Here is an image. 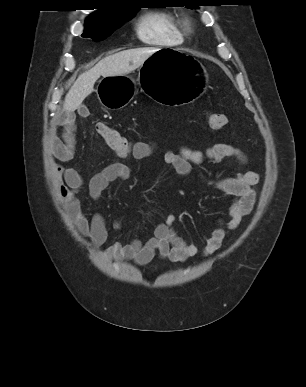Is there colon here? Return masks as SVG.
<instances>
[{
  "mask_svg": "<svg viewBox=\"0 0 306 387\" xmlns=\"http://www.w3.org/2000/svg\"><path fill=\"white\" fill-rule=\"evenodd\" d=\"M226 123L227 117L224 114L210 113L207 116V124L212 129H221L226 125ZM95 128L97 134L117 154L123 157L130 155L133 149V143L122 134H120L117 130L105 122H98Z\"/></svg>",
  "mask_w": 306,
  "mask_h": 387,
  "instance_id": "colon-1",
  "label": "colon"
}]
</instances>
